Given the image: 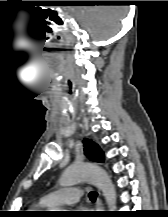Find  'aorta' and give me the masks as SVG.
Returning a JSON list of instances; mask_svg holds the SVG:
<instances>
[{
    "label": "aorta",
    "instance_id": "762f6f07",
    "mask_svg": "<svg viewBox=\"0 0 168 217\" xmlns=\"http://www.w3.org/2000/svg\"><path fill=\"white\" fill-rule=\"evenodd\" d=\"M81 181L95 185L102 191L108 208H116V189L105 170L92 163L75 164L64 171L59 183L61 186H72Z\"/></svg>",
    "mask_w": 168,
    "mask_h": 217
}]
</instances>
